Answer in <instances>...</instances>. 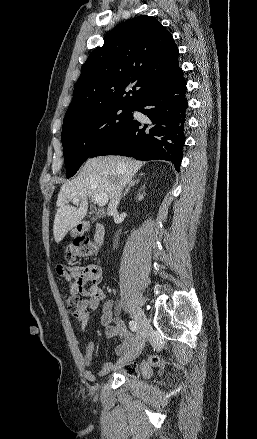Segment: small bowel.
<instances>
[{
  "label": "small bowel",
  "mask_w": 257,
  "mask_h": 439,
  "mask_svg": "<svg viewBox=\"0 0 257 439\" xmlns=\"http://www.w3.org/2000/svg\"><path fill=\"white\" fill-rule=\"evenodd\" d=\"M57 272L68 281L71 292H80L85 297L81 310L74 314L80 327L85 329L88 324V310H96L102 304L101 323L106 337L112 338L117 336L120 338V343L113 350V354L119 357L118 362H105L98 371L91 370L94 361L95 345L93 342L86 344L83 352L86 379L95 381L99 377L107 375L111 369L125 366L126 362L135 358V337L122 321L114 317L113 302L106 300V296L99 286L102 280L101 270L93 265L68 268L59 266ZM87 284L89 286L86 288Z\"/></svg>",
  "instance_id": "1"
}]
</instances>
